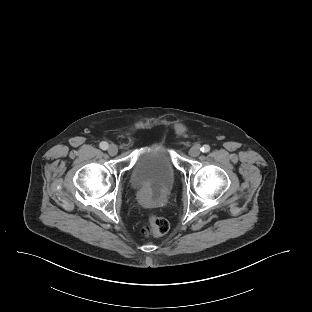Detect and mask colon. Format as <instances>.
<instances>
[{
	"mask_svg": "<svg viewBox=\"0 0 312 312\" xmlns=\"http://www.w3.org/2000/svg\"><path fill=\"white\" fill-rule=\"evenodd\" d=\"M168 230L169 222L165 218L151 215L142 232L146 237H158L167 233Z\"/></svg>",
	"mask_w": 312,
	"mask_h": 312,
	"instance_id": "colon-1",
	"label": "colon"
}]
</instances>
